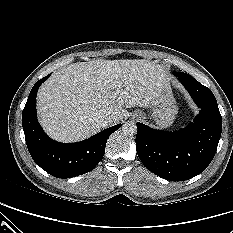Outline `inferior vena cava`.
Here are the masks:
<instances>
[{
  "instance_id": "obj_1",
  "label": "inferior vena cava",
  "mask_w": 233,
  "mask_h": 233,
  "mask_svg": "<svg viewBox=\"0 0 233 233\" xmlns=\"http://www.w3.org/2000/svg\"><path fill=\"white\" fill-rule=\"evenodd\" d=\"M95 121L102 127H106L111 123V117L108 115L98 116Z\"/></svg>"
}]
</instances>
